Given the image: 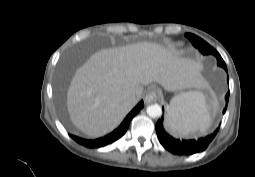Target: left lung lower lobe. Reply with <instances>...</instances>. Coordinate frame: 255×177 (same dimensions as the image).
<instances>
[{
    "label": "left lung lower lobe",
    "mask_w": 255,
    "mask_h": 177,
    "mask_svg": "<svg viewBox=\"0 0 255 177\" xmlns=\"http://www.w3.org/2000/svg\"><path fill=\"white\" fill-rule=\"evenodd\" d=\"M228 82H229V79H228ZM225 100H226V105L223 110V114L226 112V109H227L228 100H229V91L225 96ZM163 120L164 119L162 116V118L158 120L155 126L158 139L166 150L170 151L171 153L175 155H192V154L204 151L208 147L210 142L214 139L217 132L219 131V128H217L214 133L207 135L206 137H201L198 140L196 139L180 140L166 133L162 124Z\"/></svg>",
    "instance_id": "obj_1"
}]
</instances>
